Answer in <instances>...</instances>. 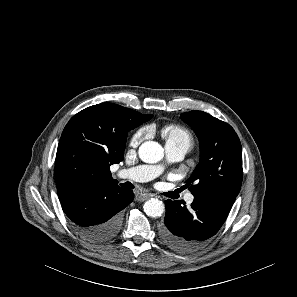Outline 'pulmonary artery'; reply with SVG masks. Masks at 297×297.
Here are the masks:
<instances>
[{"label":"pulmonary artery","mask_w":297,"mask_h":297,"mask_svg":"<svg viewBox=\"0 0 297 297\" xmlns=\"http://www.w3.org/2000/svg\"><path fill=\"white\" fill-rule=\"evenodd\" d=\"M190 146L185 143L181 144H166V158L169 162H176L186 155ZM163 170L161 165H139L129 169H122L117 172V176L122 179H127L135 182H147L157 177ZM193 195L189 194L185 200L188 203L193 201Z\"/></svg>","instance_id":"obj_1"}]
</instances>
